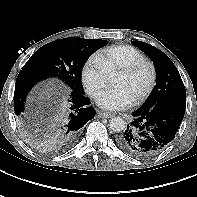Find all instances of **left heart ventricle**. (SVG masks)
Returning <instances> with one entry per match:
<instances>
[{
	"mask_svg": "<svg viewBox=\"0 0 197 197\" xmlns=\"http://www.w3.org/2000/svg\"><path fill=\"white\" fill-rule=\"evenodd\" d=\"M149 80L150 70L148 67L144 66L132 76L117 75L114 80V85L127 90L134 100L145 90Z\"/></svg>",
	"mask_w": 197,
	"mask_h": 197,
	"instance_id": "1",
	"label": "left heart ventricle"
}]
</instances>
